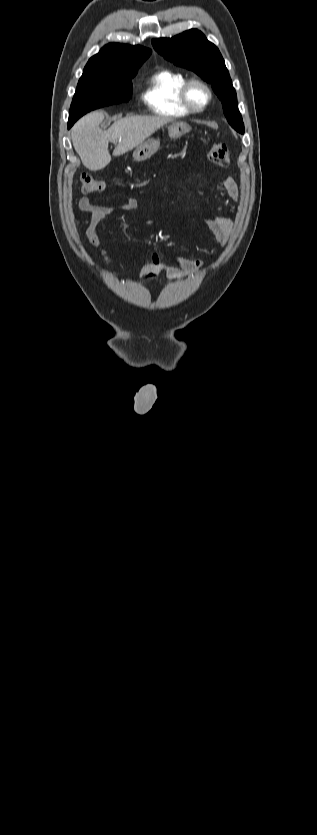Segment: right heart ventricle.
Wrapping results in <instances>:
<instances>
[{
    "mask_svg": "<svg viewBox=\"0 0 317 835\" xmlns=\"http://www.w3.org/2000/svg\"><path fill=\"white\" fill-rule=\"evenodd\" d=\"M186 76L171 69L155 71L147 79L142 92V100L148 109L160 116L178 117L191 113L182 103L180 91L186 82Z\"/></svg>",
    "mask_w": 317,
    "mask_h": 835,
    "instance_id": "e07e8e85",
    "label": "right heart ventricle"
}]
</instances>
